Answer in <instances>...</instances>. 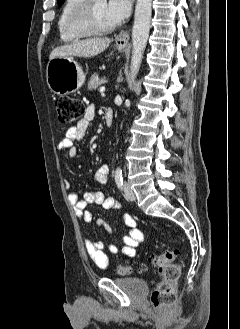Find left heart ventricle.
<instances>
[{
  "mask_svg": "<svg viewBox=\"0 0 240 329\" xmlns=\"http://www.w3.org/2000/svg\"><path fill=\"white\" fill-rule=\"evenodd\" d=\"M106 6H107L106 0H94L93 13L96 21L100 25L114 24V22L108 17L106 13Z\"/></svg>",
  "mask_w": 240,
  "mask_h": 329,
  "instance_id": "left-heart-ventricle-1",
  "label": "left heart ventricle"
}]
</instances>
